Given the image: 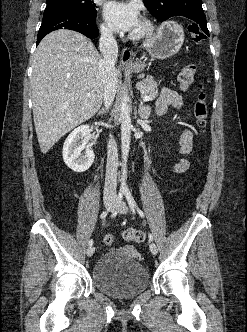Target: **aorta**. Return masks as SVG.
Returning a JSON list of instances; mask_svg holds the SVG:
<instances>
[{
	"instance_id": "aorta-1",
	"label": "aorta",
	"mask_w": 247,
	"mask_h": 332,
	"mask_svg": "<svg viewBox=\"0 0 247 332\" xmlns=\"http://www.w3.org/2000/svg\"><path fill=\"white\" fill-rule=\"evenodd\" d=\"M120 121H121V150H122V178L121 188L125 189L127 178V159L130 149L131 138V111L129 106V96L127 89L124 88L120 104Z\"/></svg>"
}]
</instances>
